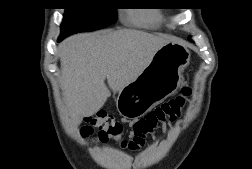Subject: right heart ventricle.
I'll use <instances>...</instances> for the list:
<instances>
[{
    "instance_id": "1",
    "label": "right heart ventricle",
    "mask_w": 252,
    "mask_h": 169,
    "mask_svg": "<svg viewBox=\"0 0 252 169\" xmlns=\"http://www.w3.org/2000/svg\"><path fill=\"white\" fill-rule=\"evenodd\" d=\"M129 17L140 25H153L159 21V16L152 12L134 11L129 13Z\"/></svg>"
}]
</instances>
